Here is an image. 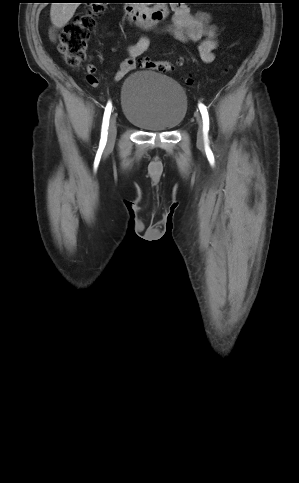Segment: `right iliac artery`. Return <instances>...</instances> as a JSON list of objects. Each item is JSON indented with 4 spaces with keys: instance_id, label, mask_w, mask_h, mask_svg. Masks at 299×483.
<instances>
[{
    "instance_id": "82829eb1",
    "label": "right iliac artery",
    "mask_w": 299,
    "mask_h": 483,
    "mask_svg": "<svg viewBox=\"0 0 299 483\" xmlns=\"http://www.w3.org/2000/svg\"><path fill=\"white\" fill-rule=\"evenodd\" d=\"M111 110H112V104L109 101L105 108V112L103 116L101 139H100V146L102 147L106 145V141H107V134H108L107 129L109 126V118H110Z\"/></svg>"
}]
</instances>
